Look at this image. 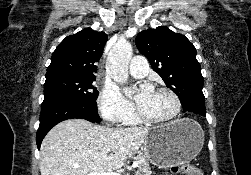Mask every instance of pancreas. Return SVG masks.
I'll use <instances>...</instances> for the list:
<instances>
[{
	"label": "pancreas",
	"instance_id": "cf45deb5",
	"mask_svg": "<svg viewBox=\"0 0 251 175\" xmlns=\"http://www.w3.org/2000/svg\"><path fill=\"white\" fill-rule=\"evenodd\" d=\"M135 159L138 161V171H136L135 175H150L151 167L147 157L145 155H137Z\"/></svg>",
	"mask_w": 251,
	"mask_h": 175
}]
</instances>
